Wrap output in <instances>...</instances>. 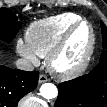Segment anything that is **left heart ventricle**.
<instances>
[{"instance_id":"obj_1","label":"left heart ventricle","mask_w":107,"mask_h":107,"mask_svg":"<svg viewBox=\"0 0 107 107\" xmlns=\"http://www.w3.org/2000/svg\"><path fill=\"white\" fill-rule=\"evenodd\" d=\"M90 40V31L86 25L80 26L71 37L67 48L56 61L60 70L75 66L84 55Z\"/></svg>"}]
</instances>
